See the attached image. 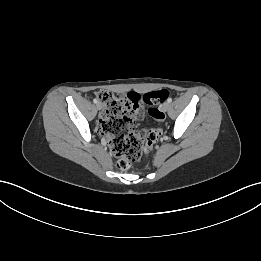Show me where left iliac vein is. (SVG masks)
I'll return each mask as SVG.
<instances>
[{
	"mask_svg": "<svg viewBox=\"0 0 261 261\" xmlns=\"http://www.w3.org/2000/svg\"><path fill=\"white\" fill-rule=\"evenodd\" d=\"M161 108L164 112H166L169 109V103L168 102L163 103Z\"/></svg>",
	"mask_w": 261,
	"mask_h": 261,
	"instance_id": "left-iliac-vein-1",
	"label": "left iliac vein"
}]
</instances>
